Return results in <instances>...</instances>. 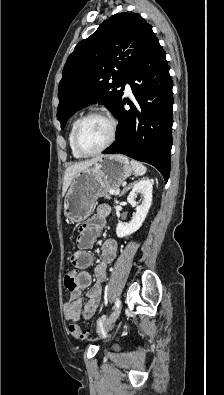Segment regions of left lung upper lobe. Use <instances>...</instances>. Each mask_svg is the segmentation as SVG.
<instances>
[{
    "instance_id": "obj_1",
    "label": "left lung upper lobe",
    "mask_w": 224,
    "mask_h": 395,
    "mask_svg": "<svg viewBox=\"0 0 224 395\" xmlns=\"http://www.w3.org/2000/svg\"><path fill=\"white\" fill-rule=\"evenodd\" d=\"M158 39L139 14L119 13L100 24L70 54L59 84L57 119L64 128L76 111L93 103L113 114L122 101L130 72Z\"/></svg>"
}]
</instances>
